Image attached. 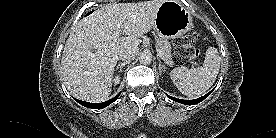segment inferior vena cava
I'll return each mask as SVG.
<instances>
[{
    "mask_svg": "<svg viewBox=\"0 0 276 138\" xmlns=\"http://www.w3.org/2000/svg\"><path fill=\"white\" fill-rule=\"evenodd\" d=\"M137 53H138L137 47L125 49L120 51V53L118 54V59H120L123 62L130 63L132 60L135 59Z\"/></svg>",
    "mask_w": 276,
    "mask_h": 138,
    "instance_id": "obj_1",
    "label": "inferior vena cava"
}]
</instances>
